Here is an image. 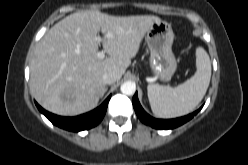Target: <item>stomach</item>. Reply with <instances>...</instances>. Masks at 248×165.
<instances>
[{
  "instance_id": "stomach-1",
  "label": "stomach",
  "mask_w": 248,
  "mask_h": 165,
  "mask_svg": "<svg viewBox=\"0 0 248 165\" xmlns=\"http://www.w3.org/2000/svg\"><path fill=\"white\" fill-rule=\"evenodd\" d=\"M174 33L165 21L154 22L146 32V43L150 50L149 65L160 80L170 79L177 69L172 52Z\"/></svg>"
}]
</instances>
